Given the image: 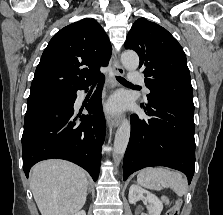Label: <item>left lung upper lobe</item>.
Returning a JSON list of instances; mask_svg holds the SVG:
<instances>
[{
    "instance_id": "5c2ea615",
    "label": "left lung upper lobe",
    "mask_w": 223,
    "mask_h": 215,
    "mask_svg": "<svg viewBox=\"0 0 223 215\" xmlns=\"http://www.w3.org/2000/svg\"><path fill=\"white\" fill-rule=\"evenodd\" d=\"M126 49L137 52L144 69L148 99L194 108L193 89L186 55L178 41L160 25L140 18L133 24Z\"/></svg>"
}]
</instances>
